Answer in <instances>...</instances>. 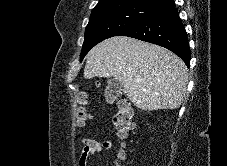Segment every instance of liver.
Segmentation results:
<instances>
[{"label":"liver","mask_w":227,"mask_h":166,"mask_svg":"<svg viewBox=\"0 0 227 166\" xmlns=\"http://www.w3.org/2000/svg\"><path fill=\"white\" fill-rule=\"evenodd\" d=\"M114 77L142 110L177 109L187 92L188 69L168 49L129 37H112L87 54L84 78Z\"/></svg>","instance_id":"6515ba94"}]
</instances>
